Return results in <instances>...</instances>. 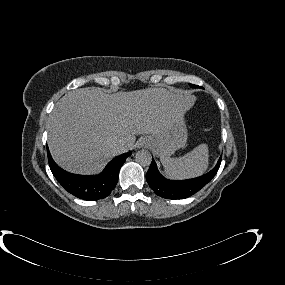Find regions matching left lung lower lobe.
Here are the masks:
<instances>
[{"label":"left lung lower lobe","instance_id":"left-lung-lower-lobe-1","mask_svg":"<svg viewBox=\"0 0 285 285\" xmlns=\"http://www.w3.org/2000/svg\"><path fill=\"white\" fill-rule=\"evenodd\" d=\"M221 157L217 165L207 174L190 180L172 181L164 178L158 171L154 160L146 174V180L154 192L166 199H185L202 189L217 173Z\"/></svg>","mask_w":285,"mask_h":285}]
</instances>
